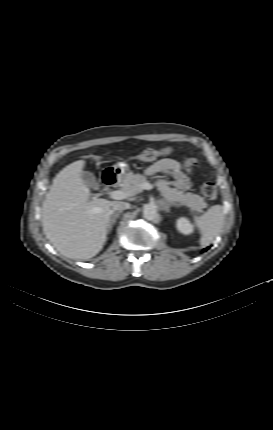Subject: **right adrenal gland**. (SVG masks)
<instances>
[{"label":"right adrenal gland","instance_id":"obj_1","mask_svg":"<svg viewBox=\"0 0 273 430\" xmlns=\"http://www.w3.org/2000/svg\"><path fill=\"white\" fill-rule=\"evenodd\" d=\"M120 214H121V211L112 212V215L110 217L109 224H108V231L109 232L112 230V227L116 223V220Z\"/></svg>","mask_w":273,"mask_h":430}]
</instances>
